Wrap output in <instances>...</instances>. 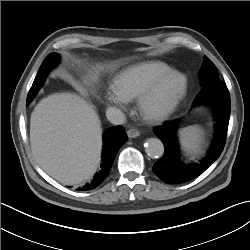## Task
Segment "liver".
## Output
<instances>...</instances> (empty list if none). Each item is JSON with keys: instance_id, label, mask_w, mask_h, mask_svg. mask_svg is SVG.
Here are the masks:
<instances>
[{"instance_id": "6515ba94", "label": "liver", "mask_w": 250, "mask_h": 250, "mask_svg": "<svg viewBox=\"0 0 250 250\" xmlns=\"http://www.w3.org/2000/svg\"><path fill=\"white\" fill-rule=\"evenodd\" d=\"M30 142L37 163L49 176L64 185H77L90 179L100 163V118L75 93L49 95L31 114Z\"/></svg>"}]
</instances>
